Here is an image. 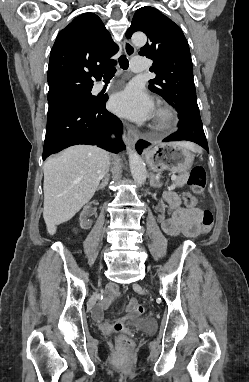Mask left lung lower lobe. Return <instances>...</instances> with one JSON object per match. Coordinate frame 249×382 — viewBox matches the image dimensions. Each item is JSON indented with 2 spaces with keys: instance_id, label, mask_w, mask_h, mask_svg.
<instances>
[{
  "instance_id": "0a47b994",
  "label": "left lung lower lobe",
  "mask_w": 249,
  "mask_h": 382,
  "mask_svg": "<svg viewBox=\"0 0 249 382\" xmlns=\"http://www.w3.org/2000/svg\"><path fill=\"white\" fill-rule=\"evenodd\" d=\"M179 118L180 121L178 131L165 138L163 142L188 140L199 144L208 151V144L204 134L201 118L194 116H184ZM149 145V142L140 140L136 144V149L139 153H141L143 148Z\"/></svg>"
}]
</instances>
